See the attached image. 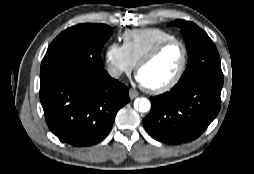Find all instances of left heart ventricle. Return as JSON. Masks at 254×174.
<instances>
[{
  "mask_svg": "<svg viewBox=\"0 0 254 174\" xmlns=\"http://www.w3.org/2000/svg\"><path fill=\"white\" fill-rule=\"evenodd\" d=\"M182 48L179 44L166 47L149 64L142 67L138 75L145 86L158 87L169 82L182 63Z\"/></svg>",
  "mask_w": 254,
  "mask_h": 174,
  "instance_id": "b2bd125f",
  "label": "left heart ventricle"
}]
</instances>
